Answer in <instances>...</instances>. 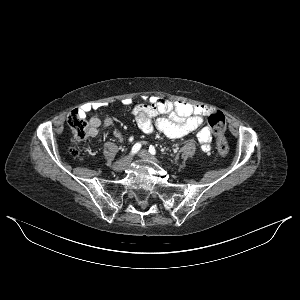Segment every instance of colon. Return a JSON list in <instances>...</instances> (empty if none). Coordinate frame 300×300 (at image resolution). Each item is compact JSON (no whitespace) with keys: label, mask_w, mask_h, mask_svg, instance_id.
Here are the masks:
<instances>
[{"label":"colon","mask_w":300,"mask_h":300,"mask_svg":"<svg viewBox=\"0 0 300 300\" xmlns=\"http://www.w3.org/2000/svg\"><path fill=\"white\" fill-rule=\"evenodd\" d=\"M67 122L70 128L73 130L78 141H81L87 137L88 126L79 110H73L68 115ZM225 125V115L221 111H215L209 115L208 126L217 138L216 149L221 157L227 156L229 152L228 143L223 136ZM71 154L73 156H78L79 150L74 147L71 149Z\"/></svg>","instance_id":"5ec220e1"}]
</instances>
